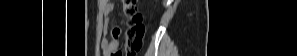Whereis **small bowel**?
<instances>
[{
    "label": "small bowel",
    "mask_w": 297,
    "mask_h": 56,
    "mask_svg": "<svg viewBox=\"0 0 297 56\" xmlns=\"http://www.w3.org/2000/svg\"><path fill=\"white\" fill-rule=\"evenodd\" d=\"M115 7L112 3H107L106 5V12L107 13H114ZM109 29V19L104 21V31H108ZM122 34V30L119 27L113 28L111 31L112 39L109 40L107 38H102L101 40V48L103 51L104 56H114L116 52H119V45H120V37Z\"/></svg>",
    "instance_id": "c3829d8e"
}]
</instances>
